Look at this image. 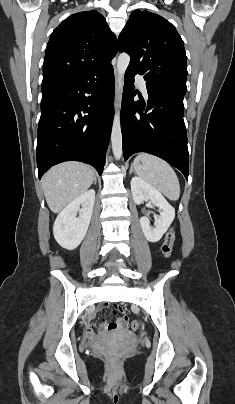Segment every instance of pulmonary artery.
Here are the masks:
<instances>
[{
  "label": "pulmonary artery",
  "mask_w": 235,
  "mask_h": 404,
  "mask_svg": "<svg viewBox=\"0 0 235 404\" xmlns=\"http://www.w3.org/2000/svg\"><path fill=\"white\" fill-rule=\"evenodd\" d=\"M135 79H136L137 84H138L139 87L141 88L143 94H144L145 96H147V89H146V84H145L144 79H143L140 75H138V74L135 76Z\"/></svg>",
  "instance_id": "e3ab8cb5"
}]
</instances>
